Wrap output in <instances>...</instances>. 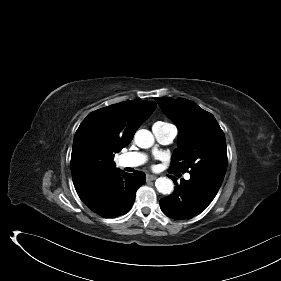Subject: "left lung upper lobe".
Wrapping results in <instances>:
<instances>
[{
	"instance_id": "left-lung-upper-lobe-1",
	"label": "left lung upper lobe",
	"mask_w": 281,
	"mask_h": 281,
	"mask_svg": "<svg viewBox=\"0 0 281 281\" xmlns=\"http://www.w3.org/2000/svg\"><path fill=\"white\" fill-rule=\"evenodd\" d=\"M155 100L179 128V146L169 170L224 177L228 164L226 141L214 116L187 99Z\"/></svg>"
}]
</instances>
